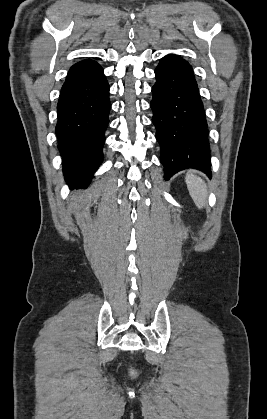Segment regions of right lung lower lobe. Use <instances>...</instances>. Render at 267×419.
Here are the masks:
<instances>
[{
  "instance_id": "1",
  "label": "right lung lower lobe",
  "mask_w": 267,
  "mask_h": 419,
  "mask_svg": "<svg viewBox=\"0 0 267 419\" xmlns=\"http://www.w3.org/2000/svg\"><path fill=\"white\" fill-rule=\"evenodd\" d=\"M110 109L102 67L92 60L73 65L60 91L55 129L65 180L72 187L87 184L102 162Z\"/></svg>"
}]
</instances>
